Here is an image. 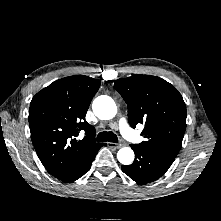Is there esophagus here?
Listing matches in <instances>:
<instances>
[{
    "label": "esophagus",
    "mask_w": 221,
    "mask_h": 221,
    "mask_svg": "<svg viewBox=\"0 0 221 221\" xmlns=\"http://www.w3.org/2000/svg\"><path fill=\"white\" fill-rule=\"evenodd\" d=\"M107 146L110 148H114V149H119L121 148L123 145L122 144H116V143H112V142H108Z\"/></svg>",
    "instance_id": "34e87169"
}]
</instances>
